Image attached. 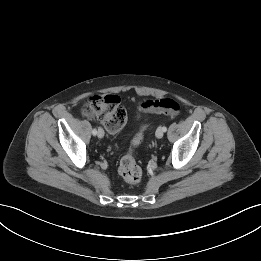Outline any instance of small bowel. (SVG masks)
<instances>
[{
  "mask_svg": "<svg viewBox=\"0 0 261 261\" xmlns=\"http://www.w3.org/2000/svg\"><path fill=\"white\" fill-rule=\"evenodd\" d=\"M145 104H146V102L141 105L140 109H141L142 111L152 112L150 109H148V108L146 107Z\"/></svg>",
  "mask_w": 261,
  "mask_h": 261,
  "instance_id": "c3829d8e",
  "label": "small bowel"
}]
</instances>
